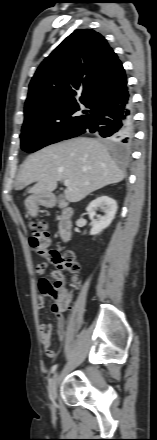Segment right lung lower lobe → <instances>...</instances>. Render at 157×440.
I'll use <instances>...</instances> for the list:
<instances>
[{"instance_id":"98d812e1","label":"right lung lower lobe","mask_w":157,"mask_h":440,"mask_svg":"<svg viewBox=\"0 0 157 440\" xmlns=\"http://www.w3.org/2000/svg\"><path fill=\"white\" fill-rule=\"evenodd\" d=\"M86 129L91 133L97 132L113 143L123 146L131 145L134 139V130L129 98L125 97L92 116L84 124V130L81 134Z\"/></svg>"}]
</instances>
